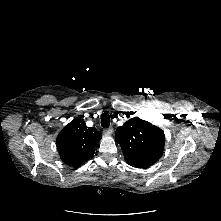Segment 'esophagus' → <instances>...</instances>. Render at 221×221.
Wrapping results in <instances>:
<instances>
[{"mask_svg": "<svg viewBox=\"0 0 221 221\" xmlns=\"http://www.w3.org/2000/svg\"><path fill=\"white\" fill-rule=\"evenodd\" d=\"M104 133H105L106 135H111V134H113V128H106V129H104Z\"/></svg>", "mask_w": 221, "mask_h": 221, "instance_id": "esophagus-1", "label": "esophagus"}]
</instances>
